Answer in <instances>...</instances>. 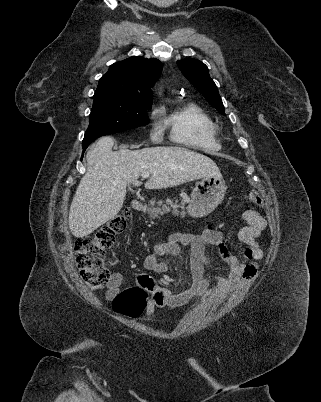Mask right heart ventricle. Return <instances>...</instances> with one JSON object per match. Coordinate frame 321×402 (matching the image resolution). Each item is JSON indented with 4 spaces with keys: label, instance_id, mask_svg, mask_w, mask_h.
<instances>
[{
    "label": "right heart ventricle",
    "instance_id": "e07e8e85",
    "mask_svg": "<svg viewBox=\"0 0 321 402\" xmlns=\"http://www.w3.org/2000/svg\"><path fill=\"white\" fill-rule=\"evenodd\" d=\"M160 126L175 144L207 152L221 148L218 126L196 103H187L162 116Z\"/></svg>",
    "mask_w": 321,
    "mask_h": 402
}]
</instances>
